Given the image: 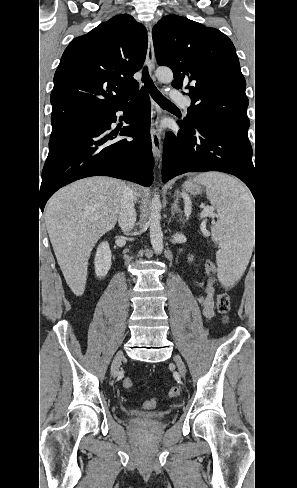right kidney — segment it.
<instances>
[{"mask_svg":"<svg viewBox=\"0 0 297 488\" xmlns=\"http://www.w3.org/2000/svg\"><path fill=\"white\" fill-rule=\"evenodd\" d=\"M95 274L98 278H102L107 275L111 268V250L108 242H102L98 248L95 255Z\"/></svg>","mask_w":297,"mask_h":488,"instance_id":"1","label":"right kidney"}]
</instances>
